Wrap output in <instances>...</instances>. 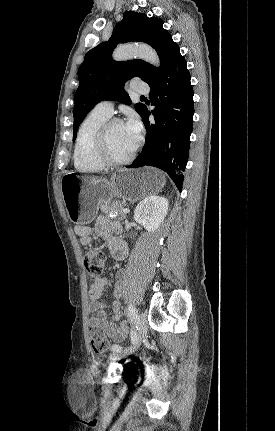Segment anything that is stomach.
<instances>
[{"label": "stomach", "mask_w": 275, "mask_h": 431, "mask_svg": "<svg viewBox=\"0 0 275 431\" xmlns=\"http://www.w3.org/2000/svg\"><path fill=\"white\" fill-rule=\"evenodd\" d=\"M165 181L164 174L154 168L121 169L110 180L67 173L61 179V192L71 222L86 225L95 218L102 200L122 197L135 202L158 193Z\"/></svg>", "instance_id": "1"}]
</instances>
